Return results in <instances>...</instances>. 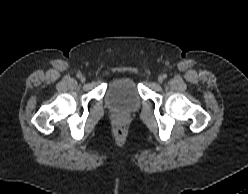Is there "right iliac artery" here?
I'll return each mask as SVG.
<instances>
[{"label": "right iliac artery", "instance_id": "1", "mask_svg": "<svg viewBox=\"0 0 248 194\" xmlns=\"http://www.w3.org/2000/svg\"><path fill=\"white\" fill-rule=\"evenodd\" d=\"M78 78H80L81 76H82V74L81 73H77V75H76Z\"/></svg>", "mask_w": 248, "mask_h": 194}]
</instances>
